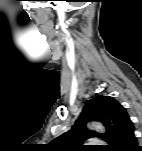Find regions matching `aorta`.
<instances>
[{
    "mask_svg": "<svg viewBox=\"0 0 142 151\" xmlns=\"http://www.w3.org/2000/svg\"><path fill=\"white\" fill-rule=\"evenodd\" d=\"M91 127L97 131L105 132L104 126L100 123H92Z\"/></svg>",
    "mask_w": 142,
    "mask_h": 151,
    "instance_id": "obj_1",
    "label": "aorta"
}]
</instances>
